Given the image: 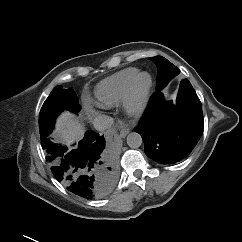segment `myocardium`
Here are the masks:
<instances>
[{"instance_id": "obj_1", "label": "myocardium", "mask_w": 242, "mask_h": 242, "mask_svg": "<svg viewBox=\"0 0 242 242\" xmlns=\"http://www.w3.org/2000/svg\"><path fill=\"white\" fill-rule=\"evenodd\" d=\"M144 82L141 83V79ZM153 85L152 77L147 72H138L130 82L122 100L124 111L131 116H138L147 107Z\"/></svg>"}]
</instances>
